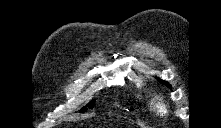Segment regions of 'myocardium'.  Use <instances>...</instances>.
Here are the masks:
<instances>
[{
  "label": "myocardium",
  "instance_id": "1",
  "mask_svg": "<svg viewBox=\"0 0 221 128\" xmlns=\"http://www.w3.org/2000/svg\"><path fill=\"white\" fill-rule=\"evenodd\" d=\"M155 108L156 112L161 116H165L168 112V107L162 100H157L155 102Z\"/></svg>",
  "mask_w": 221,
  "mask_h": 128
}]
</instances>
